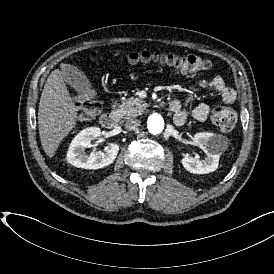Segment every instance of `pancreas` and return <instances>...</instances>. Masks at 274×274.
<instances>
[{"label": "pancreas", "instance_id": "pancreas-1", "mask_svg": "<svg viewBox=\"0 0 274 274\" xmlns=\"http://www.w3.org/2000/svg\"><path fill=\"white\" fill-rule=\"evenodd\" d=\"M147 105L141 104L140 100L135 97H130L126 101L113 111V115L119 118H131L136 117L143 113Z\"/></svg>", "mask_w": 274, "mask_h": 274}]
</instances>
